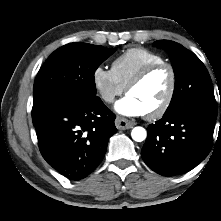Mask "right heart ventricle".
I'll list each match as a JSON object with an SVG mask.
<instances>
[{
    "label": "right heart ventricle",
    "instance_id": "right-heart-ventricle-1",
    "mask_svg": "<svg viewBox=\"0 0 221 221\" xmlns=\"http://www.w3.org/2000/svg\"><path fill=\"white\" fill-rule=\"evenodd\" d=\"M163 61L164 58L154 51L143 47H132L113 60L111 70L117 80L126 87L129 81L144 67Z\"/></svg>",
    "mask_w": 221,
    "mask_h": 221
}]
</instances>
